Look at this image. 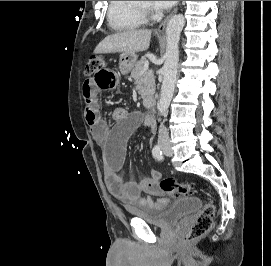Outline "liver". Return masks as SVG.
<instances>
[{
  "instance_id": "1",
  "label": "liver",
  "mask_w": 271,
  "mask_h": 266,
  "mask_svg": "<svg viewBox=\"0 0 271 266\" xmlns=\"http://www.w3.org/2000/svg\"><path fill=\"white\" fill-rule=\"evenodd\" d=\"M151 30L139 29L118 32L107 36L95 48L94 53H135L149 48Z\"/></svg>"
}]
</instances>
